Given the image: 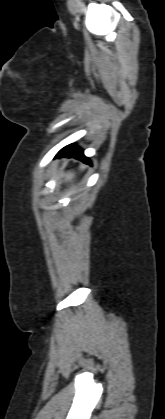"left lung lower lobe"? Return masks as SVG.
Returning a JSON list of instances; mask_svg holds the SVG:
<instances>
[{
  "label": "left lung lower lobe",
  "mask_w": 165,
  "mask_h": 419,
  "mask_svg": "<svg viewBox=\"0 0 165 419\" xmlns=\"http://www.w3.org/2000/svg\"><path fill=\"white\" fill-rule=\"evenodd\" d=\"M57 158L59 157H74L80 160H83L85 163L90 164V161L88 160V158H86L83 154V150L80 149L79 147L70 144L66 147H64L63 149H61L58 154L56 155Z\"/></svg>",
  "instance_id": "0a47b994"
}]
</instances>
